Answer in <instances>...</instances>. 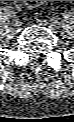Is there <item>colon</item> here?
<instances>
[{
    "instance_id": "obj_1",
    "label": "colon",
    "mask_w": 74,
    "mask_h": 122,
    "mask_svg": "<svg viewBox=\"0 0 74 122\" xmlns=\"http://www.w3.org/2000/svg\"><path fill=\"white\" fill-rule=\"evenodd\" d=\"M23 4L30 6V7H35L39 4H41L43 1H22Z\"/></svg>"
}]
</instances>
